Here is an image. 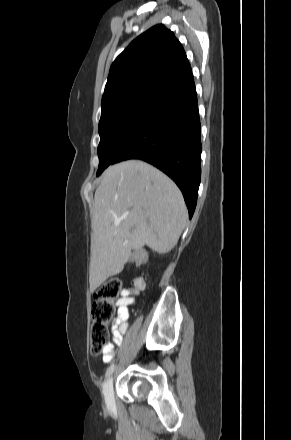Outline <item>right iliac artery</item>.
<instances>
[{"mask_svg":"<svg viewBox=\"0 0 291 440\" xmlns=\"http://www.w3.org/2000/svg\"><path fill=\"white\" fill-rule=\"evenodd\" d=\"M114 369H115V365L114 364L110 365L106 370L105 377L106 378L109 377L113 373Z\"/></svg>","mask_w":291,"mask_h":440,"instance_id":"obj_1","label":"right iliac artery"}]
</instances>
